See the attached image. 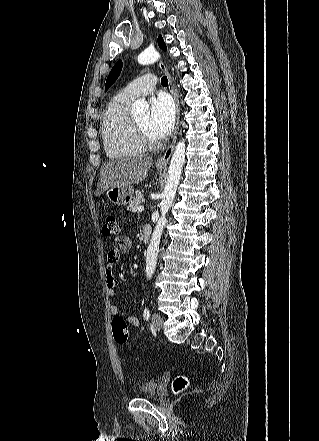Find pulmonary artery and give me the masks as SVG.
Wrapping results in <instances>:
<instances>
[{
	"mask_svg": "<svg viewBox=\"0 0 319 441\" xmlns=\"http://www.w3.org/2000/svg\"><path fill=\"white\" fill-rule=\"evenodd\" d=\"M156 83V77L154 75L147 74L132 81L119 92V95L126 99L133 100L139 96L148 95L153 92Z\"/></svg>",
	"mask_w": 319,
	"mask_h": 441,
	"instance_id": "1",
	"label": "pulmonary artery"
}]
</instances>
